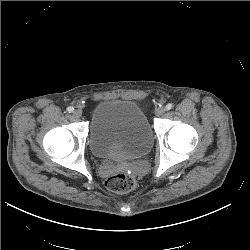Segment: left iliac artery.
I'll list each match as a JSON object with an SVG mask.
<instances>
[{
  "label": "left iliac artery",
  "mask_w": 250,
  "mask_h": 250,
  "mask_svg": "<svg viewBox=\"0 0 250 250\" xmlns=\"http://www.w3.org/2000/svg\"><path fill=\"white\" fill-rule=\"evenodd\" d=\"M173 108V104L172 103H168L166 106H165V110L168 111L170 109Z\"/></svg>",
  "instance_id": "left-iliac-artery-1"
}]
</instances>
